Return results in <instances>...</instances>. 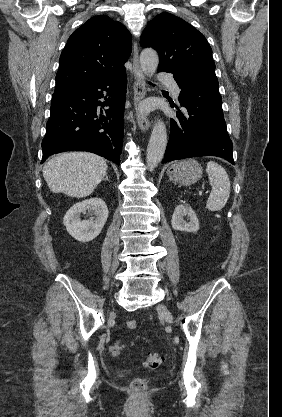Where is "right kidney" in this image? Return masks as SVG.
Returning <instances> with one entry per match:
<instances>
[{"instance_id": "ca27d5eb", "label": "right kidney", "mask_w": 282, "mask_h": 417, "mask_svg": "<svg viewBox=\"0 0 282 417\" xmlns=\"http://www.w3.org/2000/svg\"><path fill=\"white\" fill-rule=\"evenodd\" d=\"M89 211L91 215H95V221H81L80 213ZM108 219V209L106 202L102 198H86L81 202H76L70 206L67 211L63 223L67 229V233L81 243H88L95 237L100 235L106 221Z\"/></svg>"}]
</instances>
